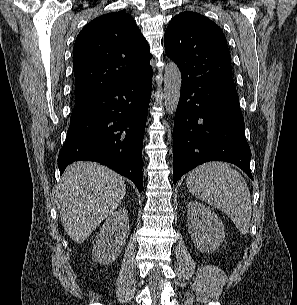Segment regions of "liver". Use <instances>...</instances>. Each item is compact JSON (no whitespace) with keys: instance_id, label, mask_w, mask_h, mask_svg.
<instances>
[{"instance_id":"6515ba94","label":"liver","mask_w":297,"mask_h":305,"mask_svg":"<svg viewBox=\"0 0 297 305\" xmlns=\"http://www.w3.org/2000/svg\"><path fill=\"white\" fill-rule=\"evenodd\" d=\"M124 179L94 162H75L67 167L56 198L66 233L80 244L121 204Z\"/></svg>"}]
</instances>
